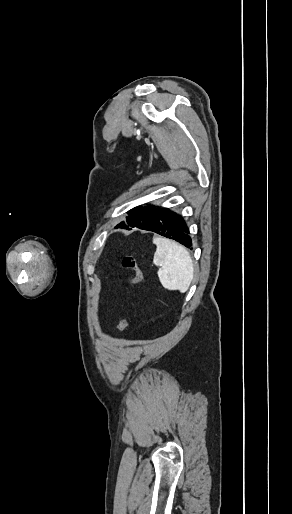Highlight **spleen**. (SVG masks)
I'll list each match as a JSON object with an SVG mask.
<instances>
[{
	"label": "spleen",
	"mask_w": 292,
	"mask_h": 514,
	"mask_svg": "<svg viewBox=\"0 0 292 514\" xmlns=\"http://www.w3.org/2000/svg\"><path fill=\"white\" fill-rule=\"evenodd\" d=\"M153 244L156 246L153 264L161 266L157 274L163 288L179 290L181 294L187 292L194 276L189 252L166 238H154Z\"/></svg>",
	"instance_id": "spleen-1"
}]
</instances>
